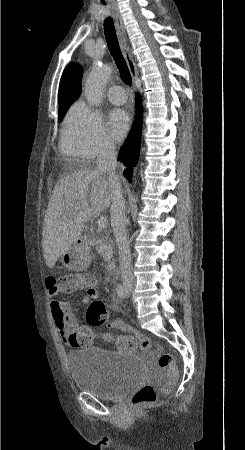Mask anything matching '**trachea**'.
Masks as SVG:
<instances>
[{
    "instance_id": "trachea-1",
    "label": "trachea",
    "mask_w": 245,
    "mask_h": 450,
    "mask_svg": "<svg viewBox=\"0 0 245 450\" xmlns=\"http://www.w3.org/2000/svg\"><path fill=\"white\" fill-rule=\"evenodd\" d=\"M104 34L107 45L119 69L122 80L126 85L131 86V74L129 72L125 59L121 53L114 23L111 18L106 19L104 22Z\"/></svg>"
}]
</instances>
